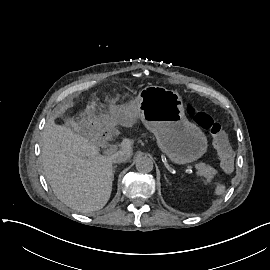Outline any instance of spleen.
<instances>
[{
    "label": "spleen",
    "instance_id": "obj_1",
    "mask_svg": "<svg viewBox=\"0 0 270 270\" xmlns=\"http://www.w3.org/2000/svg\"><path fill=\"white\" fill-rule=\"evenodd\" d=\"M224 192H225V186L222 184H217V187L215 189V194L222 195V194H224Z\"/></svg>",
    "mask_w": 270,
    "mask_h": 270
}]
</instances>
